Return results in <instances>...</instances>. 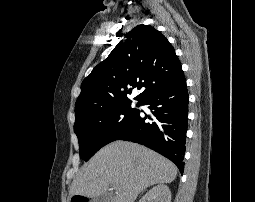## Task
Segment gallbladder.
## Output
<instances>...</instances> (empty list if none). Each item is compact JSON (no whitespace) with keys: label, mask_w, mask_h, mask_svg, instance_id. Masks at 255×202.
<instances>
[{"label":"gallbladder","mask_w":255,"mask_h":202,"mask_svg":"<svg viewBox=\"0 0 255 202\" xmlns=\"http://www.w3.org/2000/svg\"><path fill=\"white\" fill-rule=\"evenodd\" d=\"M109 196L106 194L99 195L93 198V202H108Z\"/></svg>","instance_id":"bac80fb5"}]
</instances>
